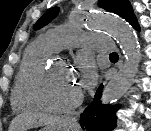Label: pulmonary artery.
<instances>
[{"label":"pulmonary artery","mask_w":151,"mask_h":131,"mask_svg":"<svg viewBox=\"0 0 151 131\" xmlns=\"http://www.w3.org/2000/svg\"><path fill=\"white\" fill-rule=\"evenodd\" d=\"M44 38L56 49L83 46L89 49L110 50L109 38L93 35L71 27H59L48 30Z\"/></svg>","instance_id":"pulmonary-artery-1"}]
</instances>
